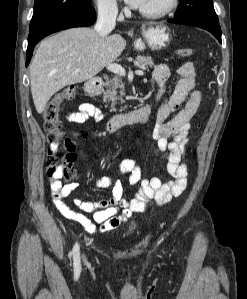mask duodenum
Returning a JSON list of instances; mask_svg holds the SVG:
<instances>
[{
    "mask_svg": "<svg viewBox=\"0 0 247 299\" xmlns=\"http://www.w3.org/2000/svg\"><path fill=\"white\" fill-rule=\"evenodd\" d=\"M101 85L102 79L100 77H93L85 83L84 91L89 97H93ZM152 111V105H146L137 110L116 114L108 120L106 125L107 130L113 132L130 124L147 122L151 118Z\"/></svg>",
    "mask_w": 247,
    "mask_h": 299,
    "instance_id": "410a0bca",
    "label": "duodenum"
}]
</instances>
